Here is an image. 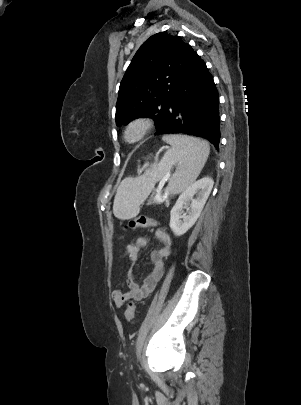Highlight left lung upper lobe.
I'll return each mask as SVG.
<instances>
[{"instance_id": "5c2ea615", "label": "left lung upper lobe", "mask_w": 301, "mask_h": 405, "mask_svg": "<svg viewBox=\"0 0 301 405\" xmlns=\"http://www.w3.org/2000/svg\"><path fill=\"white\" fill-rule=\"evenodd\" d=\"M194 53L179 36L160 32L147 39L120 83L116 125L150 117L159 130Z\"/></svg>"}]
</instances>
